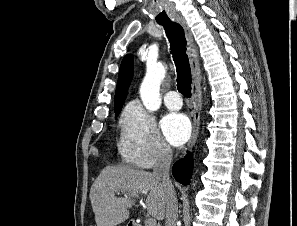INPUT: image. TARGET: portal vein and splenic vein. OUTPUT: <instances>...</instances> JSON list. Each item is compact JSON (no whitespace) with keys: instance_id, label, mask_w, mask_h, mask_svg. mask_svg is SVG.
Segmentation results:
<instances>
[{"instance_id":"18ae733b","label":"portal vein and splenic vein","mask_w":297,"mask_h":226,"mask_svg":"<svg viewBox=\"0 0 297 226\" xmlns=\"http://www.w3.org/2000/svg\"><path fill=\"white\" fill-rule=\"evenodd\" d=\"M145 226H156V220L154 218L146 219Z\"/></svg>"}]
</instances>
